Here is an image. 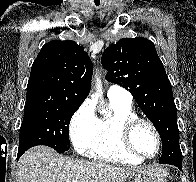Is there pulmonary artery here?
Here are the masks:
<instances>
[{"label": "pulmonary artery", "instance_id": "obj_1", "mask_svg": "<svg viewBox=\"0 0 196 182\" xmlns=\"http://www.w3.org/2000/svg\"><path fill=\"white\" fill-rule=\"evenodd\" d=\"M109 100H119L126 103L132 102V95L129 91L119 85H111L107 90Z\"/></svg>", "mask_w": 196, "mask_h": 182}]
</instances>
